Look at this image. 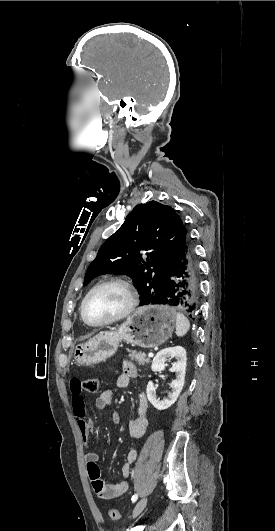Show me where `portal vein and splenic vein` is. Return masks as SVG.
<instances>
[{"label":"portal vein and splenic vein","mask_w":275,"mask_h":531,"mask_svg":"<svg viewBox=\"0 0 275 531\" xmlns=\"http://www.w3.org/2000/svg\"><path fill=\"white\" fill-rule=\"evenodd\" d=\"M148 357H153V353H149Z\"/></svg>","instance_id":"18ae733b"}]
</instances>
